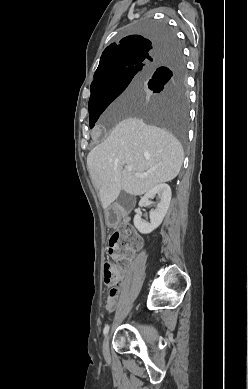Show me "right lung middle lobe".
<instances>
[{"instance_id":"right-lung-middle-lobe-1","label":"right lung middle lobe","mask_w":248,"mask_h":389,"mask_svg":"<svg viewBox=\"0 0 248 389\" xmlns=\"http://www.w3.org/2000/svg\"><path fill=\"white\" fill-rule=\"evenodd\" d=\"M138 30L151 40L175 37L167 25L162 23L146 22L139 25ZM156 69L166 71L164 74L153 75ZM147 78H150L148 88L154 93L152 99L144 104L135 100L128 101L120 106V112L137 115L148 123L163 127L184 144L188 122V95L186 67L180 47L158 56L157 62L150 67L135 66L114 70L92 83L89 99L90 128L94 127L99 116L130 83H142Z\"/></svg>"}]
</instances>
